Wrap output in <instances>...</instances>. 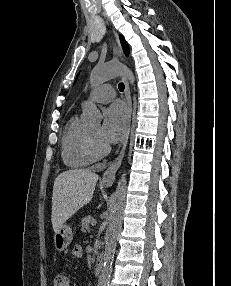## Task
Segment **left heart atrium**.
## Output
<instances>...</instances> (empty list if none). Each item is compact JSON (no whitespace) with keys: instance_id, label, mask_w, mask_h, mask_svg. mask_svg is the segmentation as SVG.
I'll return each mask as SVG.
<instances>
[{"instance_id":"39dd6f15","label":"left heart atrium","mask_w":231,"mask_h":286,"mask_svg":"<svg viewBox=\"0 0 231 286\" xmlns=\"http://www.w3.org/2000/svg\"><path fill=\"white\" fill-rule=\"evenodd\" d=\"M128 111L121 103H115L105 110L99 138L104 145L120 141L127 130Z\"/></svg>"}]
</instances>
